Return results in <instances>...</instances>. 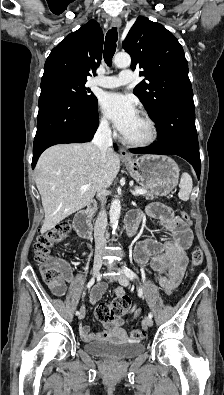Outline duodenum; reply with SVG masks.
<instances>
[{
    "instance_id": "duodenum-1",
    "label": "duodenum",
    "mask_w": 224,
    "mask_h": 395,
    "mask_svg": "<svg viewBox=\"0 0 224 395\" xmlns=\"http://www.w3.org/2000/svg\"><path fill=\"white\" fill-rule=\"evenodd\" d=\"M95 203H91L81 210L74 218V227L79 237L88 239L91 236V217L94 211ZM140 212H132L125 219V229L128 237H132L137 229Z\"/></svg>"
}]
</instances>
